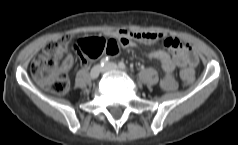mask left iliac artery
Listing matches in <instances>:
<instances>
[{"instance_id":"1","label":"left iliac artery","mask_w":238,"mask_h":145,"mask_svg":"<svg viewBox=\"0 0 238 145\" xmlns=\"http://www.w3.org/2000/svg\"><path fill=\"white\" fill-rule=\"evenodd\" d=\"M119 67L121 68V69H123V70H126L127 69V67H126V65L124 64V62H119Z\"/></svg>"}]
</instances>
